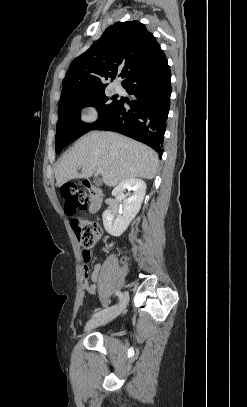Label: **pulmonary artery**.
I'll return each mask as SVG.
<instances>
[{"mask_svg":"<svg viewBox=\"0 0 247 407\" xmlns=\"http://www.w3.org/2000/svg\"><path fill=\"white\" fill-rule=\"evenodd\" d=\"M114 88H115V91H116V92H120V91L122 90L121 86H120V85H118V84H117V85H115V87H114Z\"/></svg>","mask_w":247,"mask_h":407,"instance_id":"e3ab8cb5","label":"pulmonary artery"}]
</instances>
